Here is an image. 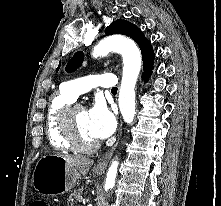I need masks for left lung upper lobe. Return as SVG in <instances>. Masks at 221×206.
<instances>
[{
    "instance_id": "obj_1",
    "label": "left lung upper lobe",
    "mask_w": 221,
    "mask_h": 206,
    "mask_svg": "<svg viewBox=\"0 0 221 206\" xmlns=\"http://www.w3.org/2000/svg\"><path fill=\"white\" fill-rule=\"evenodd\" d=\"M105 33L110 34H123L126 36L131 37L140 47L142 58H143V66H144V73L143 75L150 74L151 70L153 69V59H154V52L151 46L150 41L144 37L141 30L135 26L134 24L118 19L113 21L105 30ZM83 61V53L77 52L74 57L69 61L67 67L65 68L66 71L72 72L78 68ZM59 70V67L56 71Z\"/></svg>"
}]
</instances>
